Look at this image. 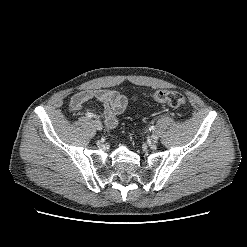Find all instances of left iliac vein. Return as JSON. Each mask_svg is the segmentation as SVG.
Wrapping results in <instances>:
<instances>
[{"label": "left iliac vein", "mask_w": 247, "mask_h": 247, "mask_svg": "<svg viewBox=\"0 0 247 247\" xmlns=\"http://www.w3.org/2000/svg\"><path fill=\"white\" fill-rule=\"evenodd\" d=\"M158 140H159V136H158L157 134H152V135H151V141H152L153 143H157Z\"/></svg>", "instance_id": "1"}]
</instances>
